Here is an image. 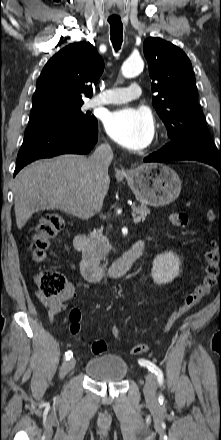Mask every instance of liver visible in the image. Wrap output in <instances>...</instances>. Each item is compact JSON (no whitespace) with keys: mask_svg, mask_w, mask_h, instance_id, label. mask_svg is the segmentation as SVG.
Segmentation results:
<instances>
[{"mask_svg":"<svg viewBox=\"0 0 221 440\" xmlns=\"http://www.w3.org/2000/svg\"><path fill=\"white\" fill-rule=\"evenodd\" d=\"M94 178L89 159L81 155H60L39 160L22 169L15 178L13 191L17 227L43 210H62L85 219L98 211L109 188L110 178L99 189V203L92 199Z\"/></svg>","mask_w":221,"mask_h":440,"instance_id":"liver-1","label":"liver"}]
</instances>
